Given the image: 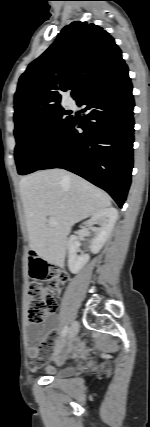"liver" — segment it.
I'll use <instances>...</instances> for the list:
<instances>
[{
  "instance_id": "1",
  "label": "liver",
  "mask_w": 150,
  "mask_h": 427,
  "mask_svg": "<svg viewBox=\"0 0 150 427\" xmlns=\"http://www.w3.org/2000/svg\"><path fill=\"white\" fill-rule=\"evenodd\" d=\"M30 246L47 261L63 264L71 227L111 206L109 195L63 169L37 171L21 178ZM54 217L57 226L47 224Z\"/></svg>"
}]
</instances>
